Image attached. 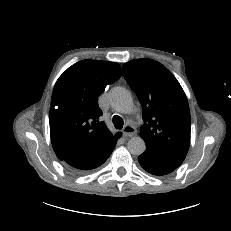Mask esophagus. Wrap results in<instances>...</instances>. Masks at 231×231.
<instances>
[{
  "label": "esophagus",
  "instance_id": "34e87169",
  "mask_svg": "<svg viewBox=\"0 0 231 231\" xmlns=\"http://www.w3.org/2000/svg\"><path fill=\"white\" fill-rule=\"evenodd\" d=\"M122 133H123V135L126 136V137H132V136L135 135L136 129H135L133 126H131V125H126V126L123 128Z\"/></svg>",
  "mask_w": 231,
  "mask_h": 231
}]
</instances>
